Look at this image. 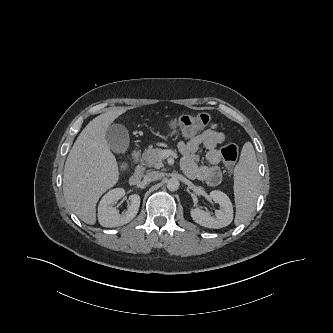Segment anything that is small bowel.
<instances>
[{"label": "small bowel", "mask_w": 333, "mask_h": 333, "mask_svg": "<svg viewBox=\"0 0 333 333\" xmlns=\"http://www.w3.org/2000/svg\"><path fill=\"white\" fill-rule=\"evenodd\" d=\"M224 139V134L213 123L201 133L189 136L186 141H180L178 149L182 154L181 166L185 174L192 179L201 180L209 186H217L222 180V172L219 167L221 155L216 146ZM201 148L207 150L208 165L199 164L198 153Z\"/></svg>", "instance_id": "obj_1"}]
</instances>
